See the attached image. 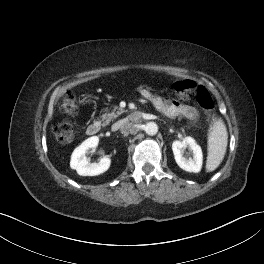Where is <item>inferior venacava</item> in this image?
I'll return each instance as SVG.
<instances>
[{
	"mask_svg": "<svg viewBox=\"0 0 264 264\" xmlns=\"http://www.w3.org/2000/svg\"><path fill=\"white\" fill-rule=\"evenodd\" d=\"M124 122L125 121H120V122H117V123L113 124L112 131H117L118 129H121V127H122Z\"/></svg>",
	"mask_w": 264,
	"mask_h": 264,
	"instance_id": "602c4592",
	"label": "inferior vena cava"
}]
</instances>
